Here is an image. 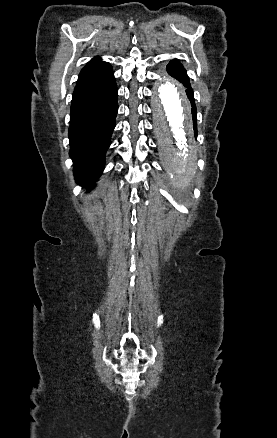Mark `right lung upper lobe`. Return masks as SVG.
<instances>
[{
	"label": "right lung upper lobe",
	"mask_w": 277,
	"mask_h": 438,
	"mask_svg": "<svg viewBox=\"0 0 277 438\" xmlns=\"http://www.w3.org/2000/svg\"><path fill=\"white\" fill-rule=\"evenodd\" d=\"M110 70H112V68L108 63L101 61L99 57L94 58L82 69L77 83L105 74Z\"/></svg>",
	"instance_id": "cb5924a9"
}]
</instances>
